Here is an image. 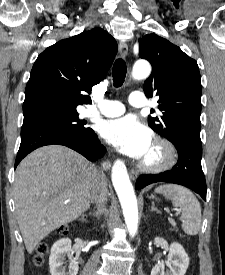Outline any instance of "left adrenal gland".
Instances as JSON below:
<instances>
[{"instance_id": "1", "label": "left adrenal gland", "mask_w": 225, "mask_h": 275, "mask_svg": "<svg viewBox=\"0 0 225 275\" xmlns=\"http://www.w3.org/2000/svg\"><path fill=\"white\" fill-rule=\"evenodd\" d=\"M151 211H156L157 213H160V211L155 207L154 202H152Z\"/></svg>"}]
</instances>
